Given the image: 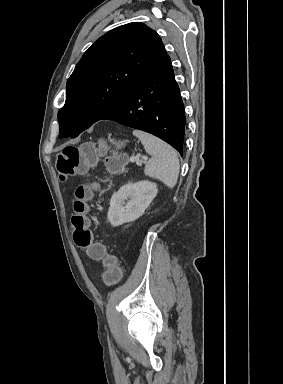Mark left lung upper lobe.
I'll list each match as a JSON object with an SVG mask.
<instances>
[{"label": "left lung upper lobe", "mask_w": 283, "mask_h": 384, "mask_svg": "<svg viewBox=\"0 0 283 384\" xmlns=\"http://www.w3.org/2000/svg\"><path fill=\"white\" fill-rule=\"evenodd\" d=\"M166 56L159 35L143 23L119 26L82 56L66 85L58 112L59 137H77L120 105Z\"/></svg>", "instance_id": "left-lung-upper-lobe-1"}]
</instances>
